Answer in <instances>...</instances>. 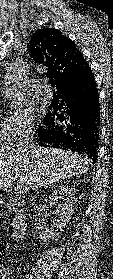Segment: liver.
I'll return each instance as SVG.
<instances>
[{"instance_id":"6515ba94","label":"liver","mask_w":113,"mask_h":279,"mask_svg":"<svg viewBox=\"0 0 113 279\" xmlns=\"http://www.w3.org/2000/svg\"><path fill=\"white\" fill-rule=\"evenodd\" d=\"M91 164L89 157L62 149L5 146L0 149V190L11 186L15 179L37 189L85 174Z\"/></svg>"}]
</instances>
